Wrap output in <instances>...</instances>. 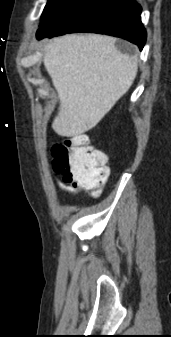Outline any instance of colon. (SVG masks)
Segmentation results:
<instances>
[{
  "label": "colon",
  "instance_id": "5ec220e1",
  "mask_svg": "<svg viewBox=\"0 0 171 337\" xmlns=\"http://www.w3.org/2000/svg\"><path fill=\"white\" fill-rule=\"evenodd\" d=\"M53 168L66 184L100 195L109 176L106 154L95 148L84 133H74L52 147Z\"/></svg>",
  "mask_w": 171,
  "mask_h": 337
}]
</instances>
